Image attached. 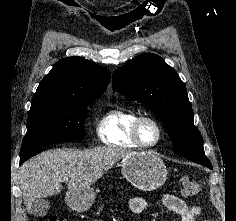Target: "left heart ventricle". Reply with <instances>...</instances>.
Masks as SVG:
<instances>
[{
	"instance_id": "1",
	"label": "left heart ventricle",
	"mask_w": 236,
	"mask_h": 221,
	"mask_svg": "<svg viewBox=\"0 0 236 221\" xmlns=\"http://www.w3.org/2000/svg\"><path fill=\"white\" fill-rule=\"evenodd\" d=\"M140 137L145 143H153L157 138V130L150 122H144L140 129Z\"/></svg>"
}]
</instances>
